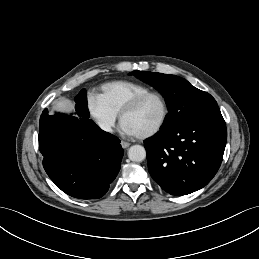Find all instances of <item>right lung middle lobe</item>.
Listing matches in <instances>:
<instances>
[{
	"instance_id": "dd1d6c3e",
	"label": "right lung middle lobe",
	"mask_w": 259,
	"mask_h": 259,
	"mask_svg": "<svg viewBox=\"0 0 259 259\" xmlns=\"http://www.w3.org/2000/svg\"><path fill=\"white\" fill-rule=\"evenodd\" d=\"M75 102H76V110H78V112L86 115L87 117H89V112H88V108H87V98H86V90L82 89L80 91V93L75 97Z\"/></svg>"
}]
</instances>
